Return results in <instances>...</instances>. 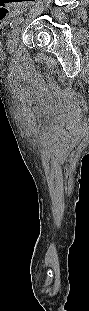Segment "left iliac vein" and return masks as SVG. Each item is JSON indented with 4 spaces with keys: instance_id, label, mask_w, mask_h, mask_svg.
<instances>
[{
    "instance_id": "1",
    "label": "left iliac vein",
    "mask_w": 89,
    "mask_h": 311,
    "mask_svg": "<svg viewBox=\"0 0 89 311\" xmlns=\"http://www.w3.org/2000/svg\"><path fill=\"white\" fill-rule=\"evenodd\" d=\"M20 33H21L20 27L13 29L12 32L10 33L8 40L9 51H13L14 49H16Z\"/></svg>"
}]
</instances>
